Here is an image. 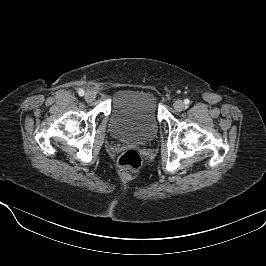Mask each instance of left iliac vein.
<instances>
[{"label": "left iliac vein", "instance_id": "1", "mask_svg": "<svg viewBox=\"0 0 266 266\" xmlns=\"http://www.w3.org/2000/svg\"><path fill=\"white\" fill-rule=\"evenodd\" d=\"M185 105L182 100H177L174 103V109L178 112L182 111L184 109Z\"/></svg>", "mask_w": 266, "mask_h": 266}]
</instances>
